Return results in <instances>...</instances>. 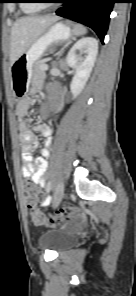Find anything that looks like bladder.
<instances>
[{
  "mask_svg": "<svg viewBox=\"0 0 136 296\" xmlns=\"http://www.w3.org/2000/svg\"><path fill=\"white\" fill-rule=\"evenodd\" d=\"M76 240V236L61 229H53L43 233L39 244L43 249L59 251L70 247Z\"/></svg>",
  "mask_w": 136,
  "mask_h": 296,
  "instance_id": "1",
  "label": "bladder"
}]
</instances>
